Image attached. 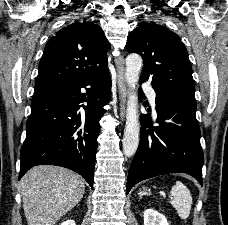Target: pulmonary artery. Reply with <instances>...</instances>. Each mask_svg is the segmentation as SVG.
Wrapping results in <instances>:
<instances>
[{"label":"pulmonary artery","instance_id":"1","mask_svg":"<svg viewBox=\"0 0 228 225\" xmlns=\"http://www.w3.org/2000/svg\"><path fill=\"white\" fill-rule=\"evenodd\" d=\"M139 85L141 86V90H145L146 95L149 99V102H150L152 108L155 109V106H156V92H155V90L151 87V85H146L145 81H140Z\"/></svg>","mask_w":228,"mask_h":225}]
</instances>
